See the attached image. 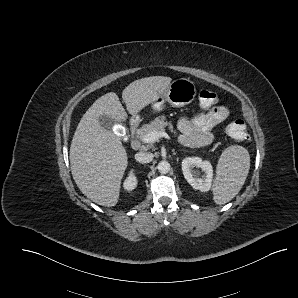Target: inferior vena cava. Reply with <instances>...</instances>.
<instances>
[{
	"label": "inferior vena cava",
	"instance_id": "obj_1",
	"mask_svg": "<svg viewBox=\"0 0 298 298\" xmlns=\"http://www.w3.org/2000/svg\"><path fill=\"white\" fill-rule=\"evenodd\" d=\"M154 154L152 152H137L135 160L140 163H149L153 160Z\"/></svg>",
	"mask_w": 298,
	"mask_h": 298
}]
</instances>
